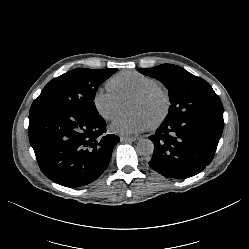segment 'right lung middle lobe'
Returning a JSON list of instances; mask_svg holds the SVG:
<instances>
[{"label": "right lung middle lobe", "mask_w": 249, "mask_h": 249, "mask_svg": "<svg viewBox=\"0 0 249 249\" xmlns=\"http://www.w3.org/2000/svg\"><path fill=\"white\" fill-rule=\"evenodd\" d=\"M117 71L76 68L53 80L34 100L30 113L43 109L64 108L80 113L98 114L94 98L98 87Z\"/></svg>", "instance_id": "obj_1"}]
</instances>
